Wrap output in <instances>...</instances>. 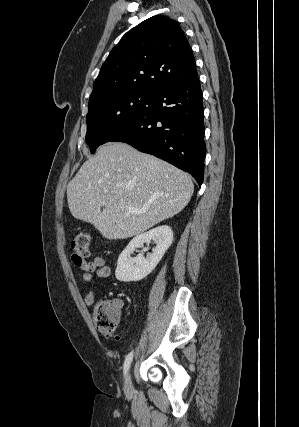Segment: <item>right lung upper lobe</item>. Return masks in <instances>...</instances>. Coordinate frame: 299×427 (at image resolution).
<instances>
[{
	"instance_id": "cb5924a9",
	"label": "right lung upper lobe",
	"mask_w": 299,
	"mask_h": 427,
	"mask_svg": "<svg viewBox=\"0 0 299 427\" xmlns=\"http://www.w3.org/2000/svg\"><path fill=\"white\" fill-rule=\"evenodd\" d=\"M197 76L195 59L179 23L153 16L126 33L104 62L89 105L123 92L154 94Z\"/></svg>"
}]
</instances>
